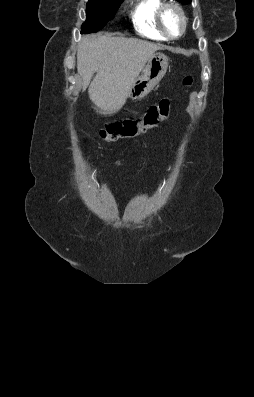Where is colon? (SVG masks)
<instances>
[{
	"instance_id": "5ec220e1",
	"label": "colon",
	"mask_w": 254,
	"mask_h": 397,
	"mask_svg": "<svg viewBox=\"0 0 254 397\" xmlns=\"http://www.w3.org/2000/svg\"><path fill=\"white\" fill-rule=\"evenodd\" d=\"M186 86L193 83V77L188 75L183 79ZM171 111V102L162 99L152 105L141 119L126 120L107 125L100 131V136L104 141L111 142L125 138H135L156 127L160 121L168 117Z\"/></svg>"
}]
</instances>
